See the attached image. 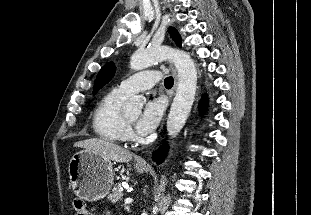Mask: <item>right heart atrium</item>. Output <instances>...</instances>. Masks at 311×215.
Segmentation results:
<instances>
[{
	"instance_id": "obj_1",
	"label": "right heart atrium",
	"mask_w": 311,
	"mask_h": 215,
	"mask_svg": "<svg viewBox=\"0 0 311 215\" xmlns=\"http://www.w3.org/2000/svg\"><path fill=\"white\" fill-rule=\"evenodd\" d=\"M133 136V132L130 126H127V130H126V137L130 138Z\"/></svg>"
}]
</instances>
